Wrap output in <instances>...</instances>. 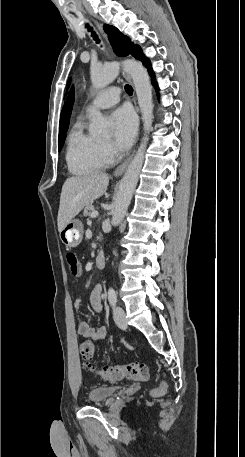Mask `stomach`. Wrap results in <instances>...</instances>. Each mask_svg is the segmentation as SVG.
<instances>
[{
  "label": "stomach",
  "instance_id": "stomach-1",
  "mask_svg": "<svg viewBox=\"0 0 245 457\" xmlns=\"http://www.w3.org/2000/svg\"><path fill=\"white\" fill-rule=\"evenodd\" d=\"M60 239L66 249L78 247L83 239V224L78 218H71L70 222L65 224L60 233Z\"/></svg>",
  "mask_w": 245,
  "mask_h": 457
}]
</instances>
